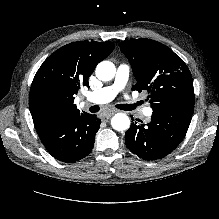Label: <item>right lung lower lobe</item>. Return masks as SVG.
I'll return each mask as SVG.
<instances>
[{"mask_svg":"<svg viewBox=\"0 0 219 219\" xmlns=\"http://www.w3.org/2000/svg\"><path fill=\"white\" fill-rule=\"evenodd\" d=\"M101 121L86 112L45 118L35 127L41 140L56 159L72 163L86 157L92 150Z\"/></svg>","mask_w":219,"mask_h":219,"instance_id":"obj_1","label":"right lung lower lobe"}]
</instances>
